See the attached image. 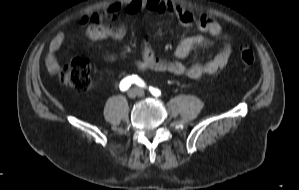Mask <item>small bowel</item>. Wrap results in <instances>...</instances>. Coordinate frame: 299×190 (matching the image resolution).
I'll use <instances>...</instances> for the list:
<instances>
[{
	"instance_id": "c3829d8e",
	"label": "small bowel",
	"mask_w": 299,
	"mask_h": 190,
	"mask_svg": "<svg viewBox=\"0 0 299 190\" xmlns=\"http://www.w3.org/2000/svg\"><path fill=\"white\" fill-rule=\"evenodd\" d=\"M123 11L130 14H137L141 11L155 12L158 14H174L182 26L196 24L201 32H207L211 37L221 38L223 45L220 51L209 61L205 63H194L187 65L184 59L188 57L191 51L198 46H209L211 38L203 34H195L183 38L174 51V57L165 59L157 57L149 41H145L141 48V57L136 59V67L140 71L153 70L157 72H168L175 75H183L192 79L200 78L204 75H213L224 68L232 54V46L228 35L224 32L222 26L211 16H198L193 11L182 8L172 2L164 0H125L122 3L110 5L103 12H96L86 15L82 18L87 25L86 34L94 42L113 40L120 42L126 35L124 24L116 26L104 23L120 15ZM66 40L63 32L57 33L51 40L46 64L51 73H57L60 69L56 57L57 51ZM115 55H107L105 60L112 62Z\"/></svg>"
}]
</instances>
